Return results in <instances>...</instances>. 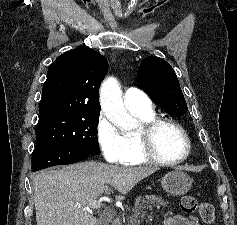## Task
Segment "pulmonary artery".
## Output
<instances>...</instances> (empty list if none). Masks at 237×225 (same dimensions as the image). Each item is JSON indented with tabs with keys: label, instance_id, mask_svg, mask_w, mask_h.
Returning a JSON list of instances; mask_svg holds the SVG:
<instances>
[{
	"label": "pulmonary artery",
	"instance_id": "e3ab8cb5",
	"mask_svg": "<svg viewBox=\"0 0 237 225\" xmlns=\"http://www.w3.org/2000/svg\"><path fill=\"white\" fill-rule=\"evenodd\" d=\"M125 104L129 109L148 111L152 108L150 98L140 89L129 87L124 94Z\"/></svg>",
	"mask_w": 237,
	"mask_h": 225
}]
</instances>
